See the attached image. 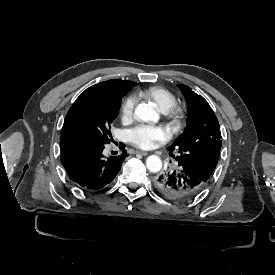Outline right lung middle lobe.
I'll return each instance as SVG.
<instances>
[{"label": "right lung middle lobe", "mask_w": 275, "mask_h": 275, "mask_svg": "<svg viewBox=\"0 0 275 275\" xmlns=\"http://www.w3.org/2000/svg\"><path fill=\"white\" fill-rule=\"evenodd\" d=\"M121 98L95 99L72 105L64 121L62 141L90 140L105 144L111 139V123L116 118Z\"/></svg>", "instance_id": "1"}]
</instances>
